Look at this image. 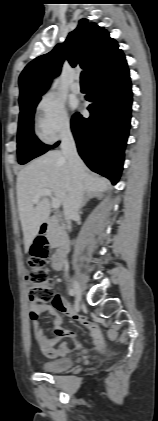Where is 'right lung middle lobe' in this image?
Here are the masks:
<instances>
[{
    "mask_svg": "<svg viewBox=\"0 0 158 421\" xmlns=\"http://www.w3.org/2000/svg\"><path fill=\"white\" fill-rule=\"evenodd\" d=\"M40 96L20 104V115L17 135L18 162L25 164L31 159L45 153L49 146L41 143L34 135L33 116Z\"/></svg>",
    "mask_w": 158,
    "mask_h": 421,
    "instance_id": "dd1d6c3e",
    "label": "right lung middle lobe"
}]
</instances>
